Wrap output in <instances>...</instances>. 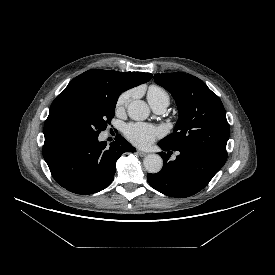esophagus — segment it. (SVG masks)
I'll return each mask as SVG.
<instances>
[{
  "mask_svg": "<svg viewBox=\"0 0 275 275\" xmlns=\"http://www.w3.org/2000/svg\"><path fill=\"white\" fill-rule=\"evenodd\" d=\"M137 154L141 157H144L147 155V152L141 151V150H137Z\"/></svg>",
  "mask_w": 275,
  "mask_h": 275,
  "instance_id": "esophagus-1",
  "label": "esophagus"
}]
</instances>
